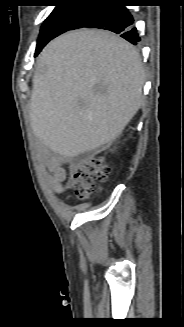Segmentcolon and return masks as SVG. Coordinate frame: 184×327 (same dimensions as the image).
Masks as SVG:
<instances>
[{"mask_svg":"<svg viewBox=\"0 0 184 327\" xmlns=\"http://www.w3.org/2000/svg\"><path fill=\"white\" fill-rule=\"evenodd\" d=\"M109 168L100 155L91 157L72 174V187L75 195L80 199H87L95 187L107 180Z\"/></svg>","mask_w":184,"mask_h":327,"instance_id":"1","label":"colon"}]
</instances>
